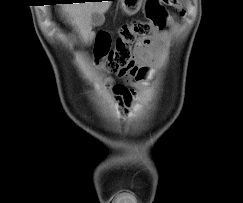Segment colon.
I'll list each match as a JSON object with an SVG mask.
<instances>
[{"label":"colon","instance_id":"1","mask_svg":"<svg viewBox=\"0 0 243 203\" xmlns=\"http://www.w3.org/2000/svg\"><path fill=\"white\" fill-rule=\"evenodd\" d=\"M171 7L184 14L182 0H148L145 6V18L135 19L121 26L119 35L111 47V37L101 32L96 37L95 58L98 64L111 73H120L127 69L132 61V49L139 40L149 37L165 25V8Z\"/></svg>","mask_w":243,"mask_h":203}]
</instances>
